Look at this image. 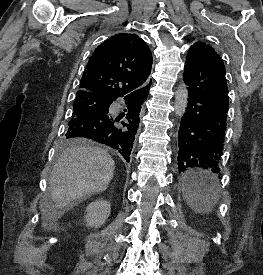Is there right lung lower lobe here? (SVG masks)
Masks as SVG:
<instances>
[{
  "label": "right lung lower lobe",
  "mask_w": 263,
  "mask_h": 275,
  "mask_svg": "<svg viewBox=\"0 0 263 275\" xmlns=\"http://www.w3.org/2000/svg\"><path fill=\"white\" fill-rule=\"evenodd\" d=\"M150 86H146L128 97V113L125 121L118 124L122 117H112L110 114H87L69 123L66 136L69 138H88L116 149L127 162L139 126L140 106L148 96ZM113 101V100H112ZM112 101H110L112 103Z\"/></svg>",
  "instance_id": "right-lung-lower-lobe-1"
}]
</instances>
